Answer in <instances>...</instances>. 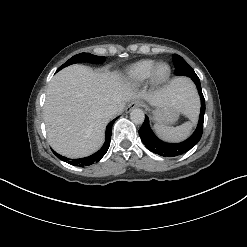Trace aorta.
<instances>
[{"label":"aorta","mask_w":247,"mask_h":247,"mask_svg":"<svg viewBox=\"0 0 247 247\" xmlns=\"http://www.w3.org/2000/svg\"><path fill=\"white\" fill-rule=\"evenodd\" d=\"M145 115L141 109H133L130 113V119L135 124H142L144 121Z\"/></svg>","instance_id":"aorta-1"}]
</instances>
